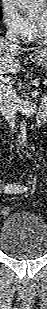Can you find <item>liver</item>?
Here are the masks:
<instances>
[{
  "label": "liver",
  "mask_w": 47,
  "mask_h": 309,
  "mask_svg": "<svg viewBox=\"0 0 47 309\" xmlns=\"http://www.w3.org/2000/svg\"><path fill=\"white\" fill-rule=\"evenodd\" d=\"M23 52L19 45L9 42L7 39L0 38V79L3 81L5 74L16 75L21 66L16 58Z\"/></svg>",
  "instance_id": "liver-1"
}]
</instances>
